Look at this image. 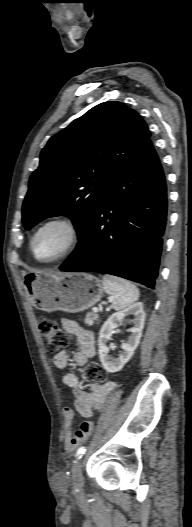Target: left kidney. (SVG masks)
Instances as JSON below:
<instances>
[{
	"mask_svg": "<svg viewBox=\"0 0 192 527\" xmlns=\"http://www.w3.org/2000/svg\"><path fill=\"white\" fill-rule=\"evenodd\" d=\"M134 316V326L131 327L128 331L131 333L127 342L122 343L121 348L123 352L121 355L113 359L108 353L109 348L107 343L111 340V334L113 330L117 327L126 316ZM145 324V312L143 310L142 303H135L128 308L112 314L102 325L98 346H99V358L104 367V369L109 373H115L120 371L123 366L131 359L134 354L135 349L139 345L142 331Z\"/></svg>",
	"mask_w": 192,
	"mask_h": 527,
	"instance_id": "1",
	"label": "left kidney"
}]
</instances>
